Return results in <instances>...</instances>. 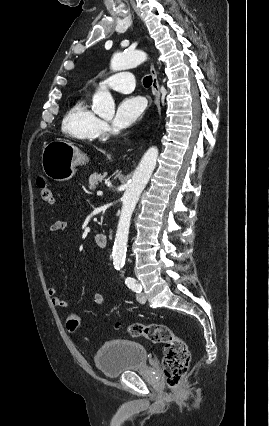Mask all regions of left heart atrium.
<instances>
[{
    "instance_id": "39dd6f15",
    "label": "left heart atrium",
    "mask_w": 269,
    "mask_h": 426,
    "mask_svg": "<svg viewBox=\"0 0 269 426\" xmlns=\"http://www.w3.org/2000/svg\"><path fill=\"white\" fill-rule=\"evenodd\" d=\"M145 101L141 97L131 96L123 99L113 119V126L117 130H124L134 125L145 111Z\"/></svg>"
}]
</instances>
